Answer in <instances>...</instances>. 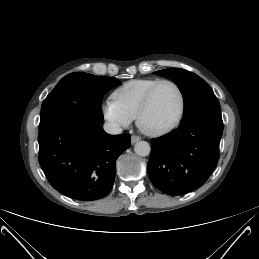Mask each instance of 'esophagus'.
Here are the masks:
<instances>
[{
    "label": "esophagus",
    "mask_w": 259,
    "mask_h": 259,
    "mask_svg": "<svg viewBox=\"0 0 259 259\" xmlns=\"http://www.w3.org/2000/svg\"><path fill=\"white\" fill-rule=\"evenodd\" d=\"M141 138L139 136L133 135L131 137V144H135L136 142H138Z\"/></svg>",
    "instance_id": "34e87169"
}]
</instances>
